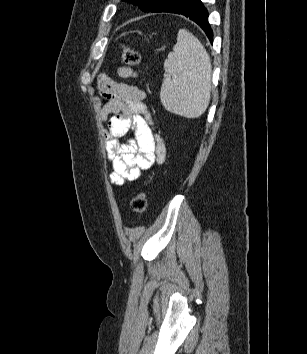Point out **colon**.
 Listing matches in <instances>:
<instances>
[{
	"label": "colon",
	"mask_w": 307,
	"mask_h": 354,
	"mask_svg": "<svg viewBox=\"0 0 307 354\" xmlns=\"http://www.w3.org/2000/svg\"><path fill=\"white\" fill-rule=\"evenodd\" d=\"M121 58L122 61L130 67H136L140 63L139 52L127 45H122ZM131 207L133 211L138 214H143L145 212L147 208V197L145 192L140 191L135 194L131 201Z\"/></svg>",
	"instance_id": "1"
}]
</instances>
